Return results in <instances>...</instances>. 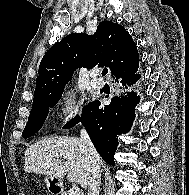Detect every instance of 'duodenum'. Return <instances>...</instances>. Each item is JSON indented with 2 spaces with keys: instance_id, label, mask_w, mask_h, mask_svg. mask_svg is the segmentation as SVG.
I'll return each mask as SVG.
<instances>
[{
  "instance_id": "1",
  "label": "duodenum",
  "mask_w": 189,
  "mask_h": 195,
  "mask_svg": "<svg viewBox=\"0 0 189 195\" xmlns=\"http://www.w3.org/2000/svg\"><path fill=\"white\" fill-rule=\"evenodd\" d=\"M51 190L55 195H58L61 192V188L56 183L52 184Z\"/></svg>"
}]
</instances>
